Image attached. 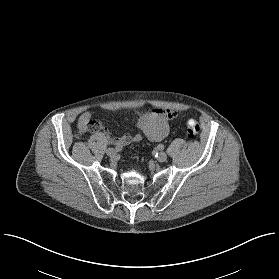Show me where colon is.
<instances>
[{
  "label": "colon",
  "mask_w": 279,
  "mask_h": 279,
  "mask_svg": "<svg viewBox=\"0 0 279 279\" xmlns=\"http://www.w3.org/2000/svg\"><path fill=\"white\" fill-rule=\"evenodd\" d=\"M186 129L190 137H195L199 133L200 127L199 123L196 119H189L186 122ZM90 131L89 127H86L84 129L79 128L78 130V137H81L85 132Z\"/></svg>",
  "instance_id": "1"
}]
</instances>
